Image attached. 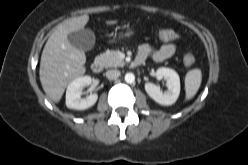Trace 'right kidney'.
I'll use <instances>...</instances> for the list:
<instances>
[{
    "label": "right kidney",
    "mask_w": 248,
    "mask_h": 165,
    "mask_svg": "<svg viewBox=\"0 0 248 165\" xmlns=\"http://www.w3.org/2000/svg\"><path fill=\"white\" fill-rule=\"evenodd\" d=\"M91 83L92 78L90 76H82L74 79L68 85L66 91V106L69 109L85 110L96 103L98 99L96 93L90 94L86 98H81L83 87L90 85Z\"/></svg>",
    "instance_id": "obj_1"
}]
</instances>
